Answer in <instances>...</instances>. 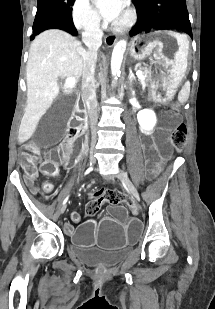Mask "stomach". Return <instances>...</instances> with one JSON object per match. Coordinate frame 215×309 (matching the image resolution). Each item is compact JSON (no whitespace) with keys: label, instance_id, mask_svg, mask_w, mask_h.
I'll use <instances>...</instances> for the list:
<instances>
[{"label":"stomach","instance_id":"obj_1","mask_svg":"<svg viewBox=\"0 0 215 309\" xmlns=\"http://www.w3.org/2000/svg\"><path fill=\"white\" fill-rule=\"evenodd\" d=\"M129 52L135 61L152 58L149 83L156 95H172L187 72L189 40L185 34L173 30L142 33L132 39Z\"/></svg>","mask_w":215,"mask_h":309}]
</instances>
